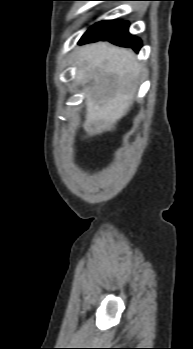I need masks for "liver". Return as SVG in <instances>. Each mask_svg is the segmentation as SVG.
<instances>
[{
    "instance_id": "6515ba94",
    "label": "liver",
    "mask_w": 193,
    "mask_h": 349,
    "mask_svg": "<svg viewBox=\"0 0 193 349\" xmlns=\"http://www.w3.org/2000/svg\"><path fill=\"white\" fill-rule=\"evenodd\" d=\"M76 81L85 87L86 121L89 136L110 131L129 110L136 95L141 64L135 53L108 42L78 49Z\"/></svg>"
}]
</instances>
